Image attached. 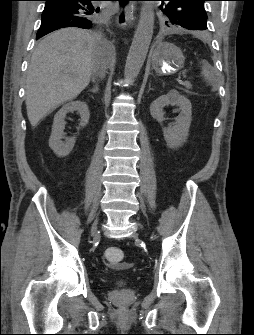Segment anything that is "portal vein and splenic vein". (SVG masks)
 Returning a JSON list of instances; mask_svg holds the SVG:
<instances>
[{
  "mask_svg": "<svg viewBox=\"0 0 254 335\" xmlns=\"http://www.w3.org/2000/svg\"><path fill=\"white\" fill-rule=\"evenodd\" d=\"M183 77L185 78L186 76H185V75H183ZM178 82H182V80H178Z\"/></svg>",
  "mask_w": 254,
  "mask_h": 335,
  "instance_id": "1",
  "label": "portal vein and splenic vein"
}]
</instances>
